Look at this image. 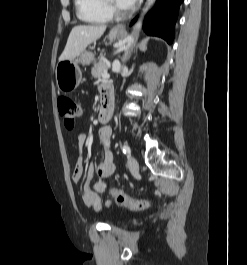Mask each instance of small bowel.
I'll use <instances>...</instances> for the list:
<instances>
[{
  "label": "small bowel",
  "instance_id": "1",
  "mask_svg": "<svg viewBox=\"0 0 247 265\" xmlns=\"http://www.w3.org/2000/svg\"><path fill=\"white\" fill-rule=\"evenodd\" d=\"M109 87L106 84L100 86L101 92ZM110 88V87H109ZM112 131L109 127H102L99 130V139L103 147V156L99 163H91L87 167V179L84 184V189L82 193V201L88 206L94 208L96 211L101 210V200L99 194L104 193L108 188V179L115 172V164L113 160V154L110 150L111 146ZM87 135L81 133L78 135L77 145L79 149V157L76 161L74 170L72 172V180L77 183L81 180L83 175V158L82 150L86 144ZM97 175L99 178L97 181H93L94 175ZM108 207L113 205V201L108 200L106 202Z\"/></svg>",
  "mask_w": 247,
  "mask_h": 265
}]
</instances>
